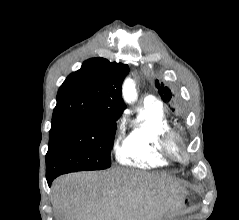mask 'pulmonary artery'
Returning a JSON list of instances; mask_svg holds the SVG:
<instances>
[{"label": "pulmonary artery", "mask_w": 239, "mask_h": 220, "mask_svg": "<svg viewBox=\"0 0 239 220\" xmlns=\"http://www.w3.org/2000/svg\"><path fill=\"white\" fill-rule=\"evenodd\" d=\"M144 103L146 104H156L161 106V102L156 99L153 95H148L144 98Z\"/></svg>", "instance_id": "pulmonary-artery-1"}]
</instances>
